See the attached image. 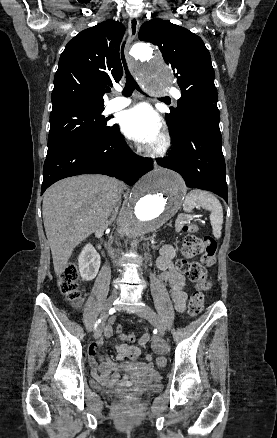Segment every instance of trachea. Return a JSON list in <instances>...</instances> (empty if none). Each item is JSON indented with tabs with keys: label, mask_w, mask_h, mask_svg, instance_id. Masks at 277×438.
Returning a JSON list of instances; mask_svg holds the SVG:
<instances>
[{
	"label": "trachea",
	"mask_w": 277,
	"mask_h": 438,
	"mask_svg": "<svg viewBox=\"0 0 277 438\" xmlns=\"http://www.w3.org/2000/svg\"><path fill=\"white\" fill-rule=\"evenodd\" d=\"M124 45H125V42L122 45L121 57H122V61H123L124 69H125V74H126V83H125V87H124L122 93L126 97H129L132 95V93L135 89L140 91V87L137 84V82L135 81V79L133 78V76L131 75V73L127 67L125 57H124Z\"/></svg>",
	"instance_id": "1"
}]
</instances>
